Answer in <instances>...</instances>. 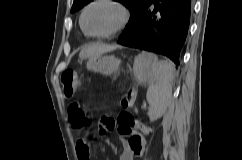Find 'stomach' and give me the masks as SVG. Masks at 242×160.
Wrapping results in <instances>:
<instances>
[{
	"instance_id": "obj_1",
	"label": "stomach",
	"mask_w": 242,
	"mask_h": 160,
	"mask_svg": "<svg viewBox=\"0 0 242 160\" xmlns=\"http://www.w3.org/2000/svg\"><path fill=\"white\" fill-rule=\"evenodd\" d=\"M121 61L114 55H100L89 59L86 67L89 71L110 75L118 70ZM133 71L140 83L149 82L152 78L149 53H142L135 57Z\"/></svg>"
}]
</instances>
